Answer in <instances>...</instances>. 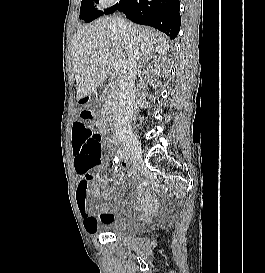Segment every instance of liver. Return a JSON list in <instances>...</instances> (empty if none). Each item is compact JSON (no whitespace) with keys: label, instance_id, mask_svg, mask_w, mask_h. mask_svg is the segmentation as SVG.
<instances>
[{"label":"liver","instance_id":"obj_1","mask_svg":"<svg viewBox=\"0 0 265 273\" xmlns=\"http://www.w3.org/2000/svg\"><path fill=\"white\" fill-rule=\"evenodd\" d=\"M141 56L166 54L169 45L165 35L130 23ZM72 61L77 83V99L91 95L105 81L114 59L127 61V46L114 17H102L80 28L71 42ZM123 66V67H124Z\"/></svg>","mask_w":265,"mask_h":273}]
</instances>
